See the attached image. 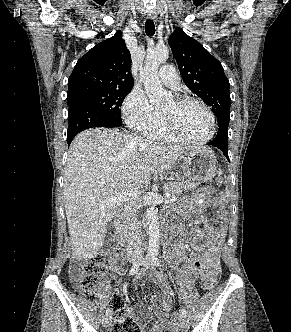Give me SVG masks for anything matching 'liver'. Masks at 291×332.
Masks as SVG:
<instances>
[{"mask_svg":"<svg viewBox=\"0 0 291 332\" xmlns=\"http://www.w3.org/2000/svg\"><path fill=\"white\" fill-rule=\"evenodd\" d=\"M197 148L147 142L119 129L78 134L69 148L63 186L72 258L98 255L118 210L112 198L142 188L152 174L168 172L182 153Z\"/></svg>","mask_w":291,"mask_h":332,"instance_id":"liver-1","label":"liver"}]
</instances>
